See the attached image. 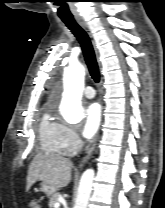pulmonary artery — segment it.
<instances>
[{
	"instance_id": "1",
	"label": "pulmonary artery",
	"mask_w": 165,
	"mask_h": 208,
	"mask_svg": "<svg viewBox=\"0 0 165 208\" xmlns=\"http://www.w3.org/2000/svg\"><path fill=\"white\" fill-rule=\"evenodd\" d=\"M95 90L92 86H86L84 89H83V96L88 98V99H92L95 97ZM72 155V154H71Z\"/></svg>"
}]
</instances>
